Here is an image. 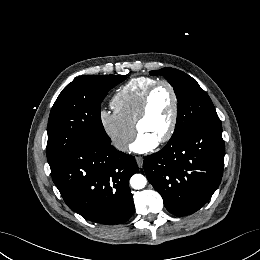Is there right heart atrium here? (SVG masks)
<instances>
[{
    "mask_svg": "<svg viewBox=\"0 0 260 260\" xmlns=\"http://www.w3.org/2000/svg\"><path fill=\"white\" fill-rule=\"evenodd\" d=\"M98 117L102 129L113 147L121 152L126 151L134 138L135 126L114 110L101 109Z\"/></svg>",
    "mask_w": 260,
    "mask_h": 260,
    "instance_id": "obj_1",
    "label": "right heart atrium"
}]
</instances>
